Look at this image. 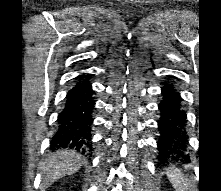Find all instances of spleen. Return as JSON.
Here are the masks:
<instances>
[{
  "label": "spleen",
  "instance_id": "spleen-1",
  "mask_svg": "<svg viewBox=\"0 0 221 191\" xmlns=\"http://www.w3.org/2000/svg\"><path fill=\"white\" fill-rule=\"evenodd\" d=\"M166 175L175 191H188L189 184L184 174L175 167L168 168Z\"/></svg>",
  "mask_w": 221,
  "mask_h": 191
}]
</instances>
